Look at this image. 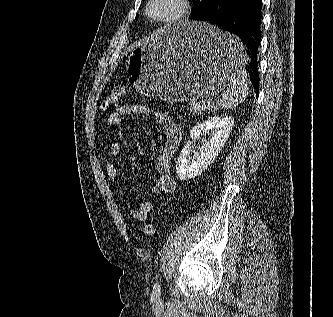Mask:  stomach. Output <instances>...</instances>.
Segmentation results:
<instances>
[{
	"mask_svg": "<svg viewBox=\"0 0 333 317\" xmlns=\"http://www.w3.org/2000/svg\"><path fill=\"white\" fill-rule=\"evenodd\" d=\"M246 45L219 24H176L134 47L127 60L130 83L143 95L169 102L207 99L231 87L248 62Z\"/></svg>",
	"mask_w": 333,
	"mask_h": 317,
	"instance_id": "0dacf381",
	"label": "stomach"
}]
</instances>
